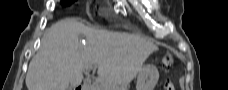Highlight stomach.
<instances>
[{"instance_id": "1", "label": "stomach", "mask_w": 228, "mask_h": 90, "mask_svg": "<svg viewBox=\"0 0 228 90\" xmlns=\"http://www.w3.org/2000/svg\"><path fill=\"white\" fill-rule=\"evenodd\" d=\"M158 77L159 72L154 65H145L138 74L136 90H153Z\"/></svg>"}]
</instances>
